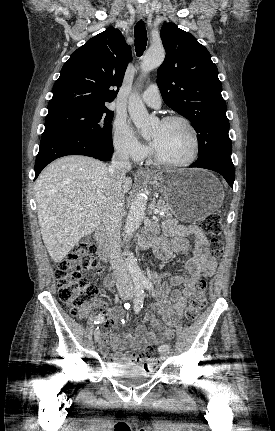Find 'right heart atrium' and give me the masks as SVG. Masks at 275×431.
<instances>
[{
    "label": "right heart atrium",
    "instance_id": "obj_1",
    "mask_svg": "<svg viewBox=\"0 0 275 431\" xmlns=\"http://www.w3.org/2000/svg\"><path fill=\"white\" fill-rule=\"evenodd\" d=\"M113 146L125 158L135 161L143 159L148 149L135 136L125 118L118 116L113 124Z\"/></svg>",
    "mask_w": 275,
    "mask_h": 431
}]
</instances>
